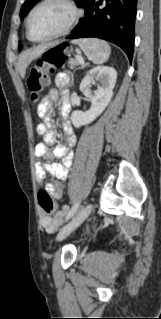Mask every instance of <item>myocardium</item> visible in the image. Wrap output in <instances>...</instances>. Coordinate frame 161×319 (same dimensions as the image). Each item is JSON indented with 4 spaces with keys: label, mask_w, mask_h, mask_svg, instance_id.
<instances>
[{
    "label": "myocardium",
    "mask_w": 161,
    "mask_h": 319,
    "mask_svg": "<svg viewBox=\"0 0 161 319\" xmlns=\"http://www.w3.org/2000/svg\"><path fill=\"white\" fill-rule=\"evenodd\" d=\"M60 3L62 5H64L66 8H68V10L70 11V16L68 18V20L66 21V23L63 25V27L57 31L56 33L45 37V38H41V39H34L31 36L30 33V24H31V20L32 17L34 16V14L37 12L38 9H40L42 6L48 4V3ZM80 16V10L77 7V5L72 1V0H41L30 12L28 19H27V23H26V34L27 37L30 41L32 42H47V41H51L54 40L56 38H59L63 35H65L75 24V22L77 21V19Z\"/></svg>",
    "instance_id": "myocardium-1"
}]
</instances>
